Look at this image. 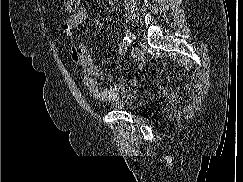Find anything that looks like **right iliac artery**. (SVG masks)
Instances as JSON below:
<instances>
[{
    "label": "right iliac artery",
    "mask_w": 243,
    "mask_h": 182,
    "mask_svg": "<svg viewBox=\"0 0 243 182\" xmlns=\"http://www.w3.org/2000/svg\"><path fill=\"white\" fill-rule=\"evenodd\" d=\"M131 43V40L129 39V37L125 36L122 40V45H124L125 47L129 46Z\"/></svg>",
    "instance_id": "82829eb1"
}]
</instances>
